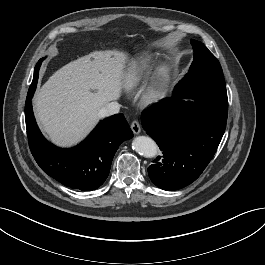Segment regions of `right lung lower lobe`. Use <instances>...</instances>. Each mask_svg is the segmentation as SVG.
Wrapping results in <instances>:
<instances>
[{
  "instance_id": "obj_1",
  "label": "right lung lower lobe",
  "mask_w": 265,
  "mask_h": 265,
  "mask_svg": "<svg viewBox=\"0 0 265 265\" xmlns=\"http://www.w3.org/2000/svg\"><path fill=\"white\" fill-rule=\"evenodd\" d=\"M40 60L35 67L38 76ZM36 84L32 83L31 87ZM33 91L29 90L25 105V120L32 155L41 169L63 185L91 191L100 187L108 177L111 163L119 145L133 137L123 114L101 121L79 145L62 149L49 143L41 134L32 111Z\"/></svg>"
}]
</instances>
